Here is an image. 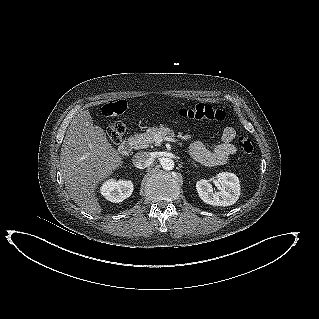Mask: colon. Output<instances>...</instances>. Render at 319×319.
<instances>
[{
	"label": "colon",
	"instance_id": "colon-1",
	"mask_svg": "<svg viewBox=\"0 0 319 319\" xmlns=\"http://www.w3.org/2000/svg\"><path fill=\"white\" fill-rule=\"evenodd\" d=\"M127 109L125 100H118L107 103L102 107V113L109 118H117L121 116ZM177 115L189 120H208L215 122H224L228 118V114L207 103H197L186 107L179 108ZM125 132V125L122 121H114L107 128V136L112 144H117ZM239 148L245 154H251L254 150L253 143L249 137L240 136L237 140Z\"/></svg>",
	"mask_w": 319,
	"mask_h": 319
}]
</instances>
